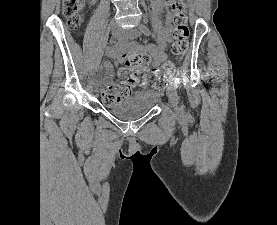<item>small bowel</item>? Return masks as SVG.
Wrapping results in <instances>:
<instances>
[{"mask_svg": "<svg viewBox=\"0 0 277 225\" xmlns=\"http://www.w3.org/2000/svg\"><path fill=\"white\" fill-rule=\"evenodd\" d=\"M173 0H152V8L154 13V28L157 32L159 44L157 46L149 45L145 47V50L153 58V67L156 68L162 64L166 59L165 46L169 41L170 33L172 30L171 13L168 9L171 7ZM163 12L166 14V23L163 25L161 15ZM131 47H135L131 45ZM105 55L110 56L119 63L122 59L121 46L117 48H108ZM102 78L101 85L107 84L113 74V64L111 61H105L101 67Z\"/></svg>", "mask_w": 277, "mask_h": 225, "instance_id": "1", "label": "small bowel"}]
</instances>
